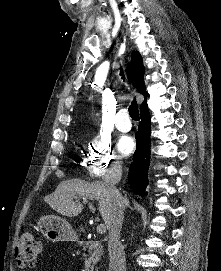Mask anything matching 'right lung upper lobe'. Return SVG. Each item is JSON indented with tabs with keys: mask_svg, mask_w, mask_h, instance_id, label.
I'll use <instances>...</instances> for the list:
<instances>
[{
	"mask_svg": "<svg viewBox=\"0 0 221 271\" xmlns=\"http://www.w3.org/2000/svg\"><path fill=\"white\" fill-rule=\"evenodd\" d=\"M132 64L133 67H130L131 63H129V67L127 68V75L128 78H132L131 82L133 86L138 90V92L142 93L145 97L144 102L140 106V110L144 109L147 107V102H146V89L144 85V65L142 61V57L138 52H133L132 54Z\"/></svg>",
	"mask_w": 221,
	"mask_h": 271,
	"instance_id": "obj_1",
	"label": "right lung upper lobe"
}]
</instances>
